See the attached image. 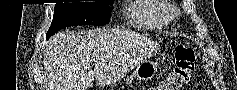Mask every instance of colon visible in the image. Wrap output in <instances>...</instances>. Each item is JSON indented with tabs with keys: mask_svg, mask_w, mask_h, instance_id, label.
Returning <instances> with one entry per match:
<instances>
[{
	"mask_svg": "<svg viewBox=\"0 0 237 90\" xmlns=\"http://www.w3.org/2000/svg\"><path fill=\"white\" fill-rule=\"evenodd\" d=\"M175 67L159 84L158 90H182L191 80L195 52L192 47L180 44L174 52Z\"/></svg>",
	"mask_w": 237,
	"mask_h": 90,
	"instance_id": "5ec220e1",
	"label": "colon"
}]
</instances>
